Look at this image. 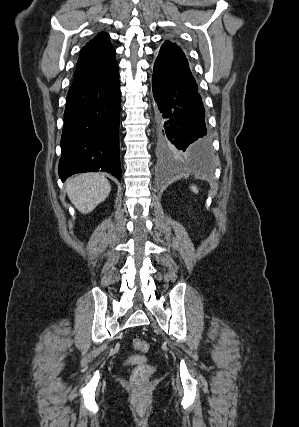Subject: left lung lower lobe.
Returning <instances> with one entry per match:
<instances>
[{"mask_svg": "<svg viewBox=\"0 0 299 427\" xmlns=\"http://www.w3.org/2000/svg\"><path fill=\"white\" fill-rule=\"evenodd\" d=\"M158 153L165 162L189 159L202 173L212 170L211 143L197 83L184 52L165 41L154 64Z\"/></svg>", "mask_w": 299, "mask_h": 427, "instance_id": "left-lung-lower-lobe-1", "label": "left lung lower lobe"}]
</instances>
